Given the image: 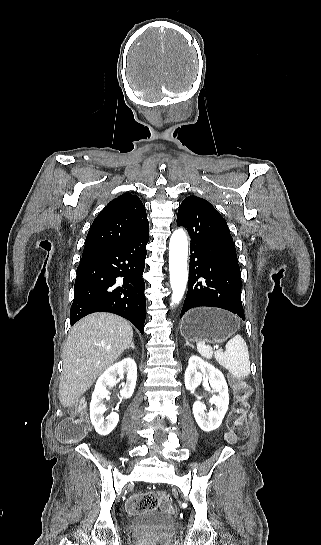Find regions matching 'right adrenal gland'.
<instances>
[{
	"mask_svg": "<svg viewBox=\"0 0 321 545\" xmlns=\"http://www.w3.org/2000/svg\"><path fill=\"white\" fill-rule=\"evenodd\" d=\"M127 349H135V345H134L133 341H132V343H130V345H129V347H127Z\"/></svg>",
	"mask_w": 321,
	"mask_h": 545,
	"instance_id": "1",
	"label": "right adrenal gland"
}]
</instances>
